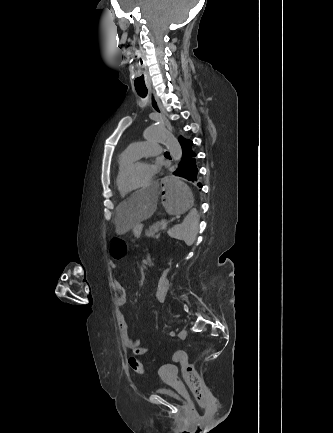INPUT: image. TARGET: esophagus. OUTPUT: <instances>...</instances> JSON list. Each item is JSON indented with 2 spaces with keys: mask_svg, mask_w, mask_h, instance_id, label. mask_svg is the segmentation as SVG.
I'll list each match as a JSON object with an SVG mask.
<instances>
[{
  "mask_svg": "<svg viewBox=\"0 0 333 433\" xmlns=\"http://www.w3.org/2000/svg\"><path fill=\"white\" fill-rule=\"evenodd\" d=\"M150 105L152 107V109L161 117L163 118V120H165V115L161 109V107L159 106L158 102L152 97L151 92H150Z\"/></svg>",
  "mask_w": 333,
  "mask_h": 433,
  "instance_id": "34e87169",
  "label": "esophagus"
}]
</instances>
